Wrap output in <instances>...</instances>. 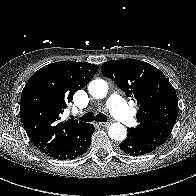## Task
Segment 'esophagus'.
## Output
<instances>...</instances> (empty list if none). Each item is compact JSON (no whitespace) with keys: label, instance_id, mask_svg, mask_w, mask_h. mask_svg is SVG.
Instances as JSON below:
<instances>
[{"label":"esophagus","instance_id":"esophagus-1","mask_svg":"<svg viewBox=\"0 0 196 196\" xmlns=\"http://www.w3.org/2000/svg\"><path fill=\"white\" fill-rule=\"evenodd\" d=\"M99 126H103V127H107L110 125L109 122H106V123H98Z\"/></svg>","mask_w":196,"mask_h":196}]
</instances>
